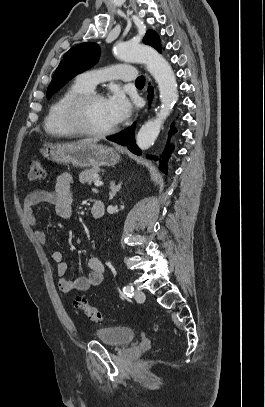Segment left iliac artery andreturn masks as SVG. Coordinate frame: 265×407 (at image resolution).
Here are the masks:
<instances>
[{
    "instance_id": "obj_1",
    "label": "left iliac artery",
    "mask_w": 265,
    "mask_h": 407,
    "mask_svg": "<svg viewBox=\"0 0 265 407\" xmlns=\"http://www.w3.org/2000/svg\"><path fill=\"white\" fill-rule=\"evenodd\" d=\"M123 292L127 296L132 297L134 295V288L132 286H124Z\"/></svg>"
}]
</instances>
